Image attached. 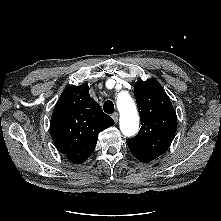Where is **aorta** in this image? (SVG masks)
<instances>
[{
	"instance_id": "obj_1",
	"label": "aorta",
	"mask_w": 221,
	"mask_h": 221,
	"mask_svg": "<svg viewBox=\"0 0 221 221\" xmlns=\"http://www.w3.org/2000/svg\"><path fill=\"white\" fill-rule=\"evenodd\" d=\"M116 104L121 132L127 137L135 135L139 129V115L134 100L128 93L122 92L118 94Z\"/></svg>"
}]
</instances>
